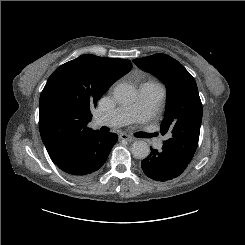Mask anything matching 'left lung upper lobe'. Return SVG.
<instances>
[{"label": "left lung upper lobe", "mask_w": 245, "mask_h": 245, "mask_svg": "<svg viewBox=\"0 0 245 245\" xmlns=\"http://www.w3.org/2000/svg\"><path fill=\"white\" fill-rule=\"evenodd\" d=\"M133 62L159 77L166 86L167 104L160 131L162 135L169 133L171 136L163 144L192 159L202 121V103L194 78L177 60L166 54H154Z\"/></svg>", "instance_id": "left-lung-upper-lobe-1"}]
</instances>
